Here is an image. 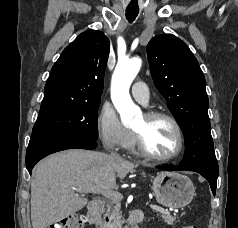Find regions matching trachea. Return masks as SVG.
Returning a JSON list of instances; mask_svg holds the SVG:
<instances>
[{"mask_svg": "<svg viewBox=\"0 0 238 228\" xmlns=\"http://www.w3.org/2000/svg\"><path fill=\"white\" fill-rule=\"evenodd\" d=\"M139 11L138 10H126V18L129 22H133L137 17Z\"/></svg>", "mask_w": 238, "mask_h": 228, "instance_id": "obj_1", "label": "trachea"}]
</instances>
